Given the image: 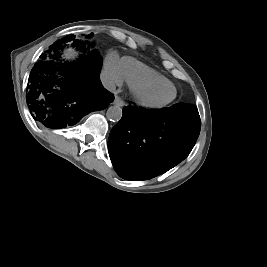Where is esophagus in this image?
Listing matches in <instances>:
<instances>
[{"label": "esophagus", "mask_w": 267, "mask_h": 267, "mask_svg": "<svg viewBox=\"0 0 267 267\" xmlns=\"http://www.w3.org/2000/svg\"><path fill=\"white\" fill-rule=\"evenodd\" d=\"M113 104L123 107L125 105V102L119 96H115Z\"/></svg>", "instance_id": "34e87169"}]
</instances>
